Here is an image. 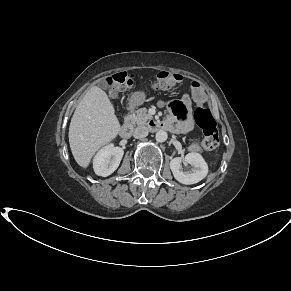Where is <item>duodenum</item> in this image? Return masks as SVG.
<instances>
[{"mask_svg":"<svg viewBox=\"0 0 291 291\" xmlns=\"http://www.w3.org/2000/svg\"><path fill=\"white\" fill-rule=\"evenodd\" d=\"M134 109L133 104L129 105L127 109V113L130 114L132 110ZM164 126V122L161 124L159 121H153L150 123V128L159 130ZM133 127L130 119L128 117L125 118L123 124L120 127L119 133L122 137H129L132 134Z\"/></svg>","mask_w":291,"mask_h":291,"instance_id":"duodenum-1","label":"duodenum"}]
</instances>
